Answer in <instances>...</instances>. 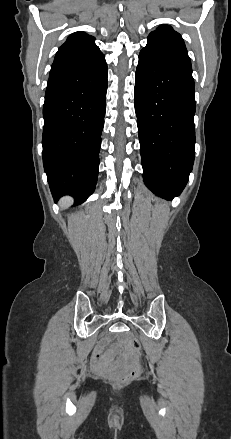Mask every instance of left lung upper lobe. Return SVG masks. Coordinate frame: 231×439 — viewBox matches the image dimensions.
<instances>
[{"label": "left lung upper lobe", "mask_w": 231, "mask_h": 439, "mask_svg": "<svg viewBox=\"0 0 231 439\" xmlns=\"http://www.w3.org/2000/svg\"><path fill=\"white\" fill-rule=\"evenodd\" d=\"M144 50L159 56L190 62L185 43L181 35L169 25H161L148 36Z\"/></svg>", "instance_id": "left-lung-upper-lobe-1"}]
</instances>
